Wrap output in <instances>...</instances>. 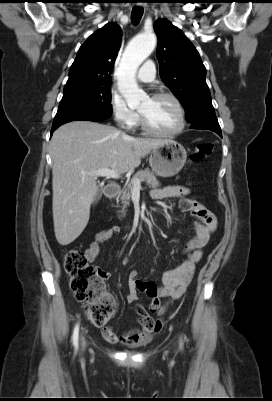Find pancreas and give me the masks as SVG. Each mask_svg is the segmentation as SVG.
<instances>
[{
    "instance_id": "obj_1",
    "label": "pancreas",
    "mask_w": 272,
    "mask_h": 401,
    "mask_svg": "<svg viewBox=\"0 0 272 401\" xmlns=\"http://www.w3.org/2000/svg\"><path fill=\"white\" fill-rule=\"evenodd\" d=\"M140 180V182H145L150 188H157L160 186L159 181L155 177V175L150 171V169L140 170L138 171L131 181L126 184L124 189L121 192L119 197L121 203L123 204L122 214L125 216V207L129 205L131 194L134 188V181Z\"/></svg>"
}]
</instances>
